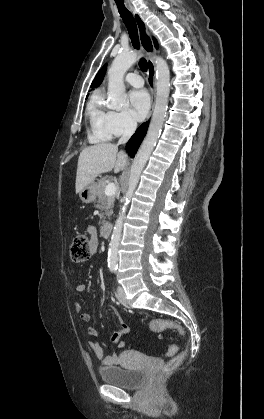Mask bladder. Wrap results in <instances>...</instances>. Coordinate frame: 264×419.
<instances>
[{
  "instance_id": "bladder-1",
  "label": "bladder",
  "mask_w": 264,
  "mask_h": 419,
  "mask_svg": "<svg viewBox=\"0 0 264 419\" xmlns=\"http://www.w3.org/2000/svg\"><path fill=\"white\" fill-rule=\"evenodd\" d=\"M99 374L104 383L123 389H135L145 379V372L142 369L126 368L123 366L104 367L100 369Z\"/></svg>"
}]
</instances>
